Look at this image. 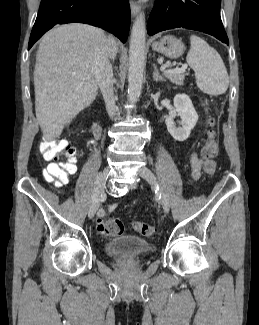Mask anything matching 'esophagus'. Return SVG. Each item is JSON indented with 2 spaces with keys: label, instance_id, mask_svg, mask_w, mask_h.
Here are the masks:
<instances>
[{
  "label": "esophagus",
  "instance_id": "34e87169",
  "mask_svg": "<svg viewBox=\"0 0 259 325\" xmlns=\"http://www.w3.org/2000/svg\"><path fill=\"white\" fill-rule=\"evenodd\" d=\"M131 15L133 18L137 16L140 11V7L133 0L130 1Z\"/></svg>",
  "mask_w": 259,
  "mask_h": 325
}]
</instances>
